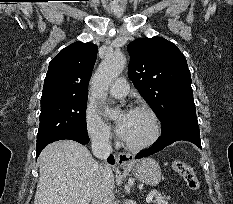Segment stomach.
I'll return each mask as SVG.
<instances>
[{"mask_svg":"<svg viewBox=\"0 0 233 204\" xmlns=\"http://www.w3.org/2000/svg\"><path fill=\"white\" fill-rule=\"evenodd\" d=\"M125 169L132 171L138 180L148 185H157L162 178L159 164L151 158L138 161Z\"/></svg>","mask_w":233,"mask_h":204,"instance_id":"1","label":"stomach"}]
</instances>
